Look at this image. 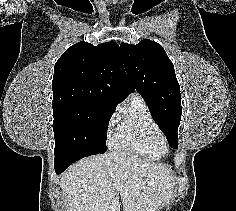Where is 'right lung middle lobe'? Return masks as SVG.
Wrapping results in <instances>:
<instances>
[{
  "label": "right lung middle lobe",
  "mask_w": 236,
  "mask_h": 211,
  "mask_svg": "<svg viewBox=\"0 0 236 211\" xmlns=\"http://www.w3.org/2000/svg\"><path fill=\"white\" fill-rule=\"evenodd\" d=\"M115 106L66 104L53 108L54 153L70 150L106 152V130Z\"/></svg>",
  "instance_id": "right-lung-middle-lobe-1"
}]
</instances>
